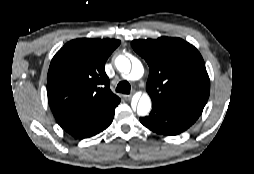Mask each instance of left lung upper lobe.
Masks as SVG:
<instances>
[{"label": "left lung upper lobe", "mask_w": 254, "mask_h": 174, "mask_svg": "<svg viewBox=\"0 0 254 174\" xmlns=\"http://www.w3.org/2000/svg\"><path fill=\"white\" fill-rule=\"evenodd\" d=\"M131 46L150 68L146 90L152 102L200 116L209 97L210 80L198 50L172 37L134 40Z\"/></svg>", "instance_id": "obj_1"}]
</instances>
